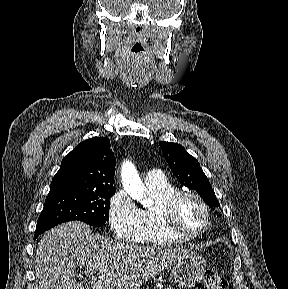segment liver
<instances>
[{
	"instance_id": "obj_1",
	"label": "liver",
	"mask_w": 288,
	"mask_h": 289,
	"mask_svg": "<svg viewBox=\"0 0 288 289\" xmlns=\"http://www.w3.org/2000/svg\"><path fill=\"white\" fill-rule=\"evenodd\" d=\"M190 254L182 248L136 246L91 234L80 221L63 223L38 243L35 275L38 289H85L74 270L97 274L103 289H139L143 281Z\"/></svg>"
}]
</instances>
